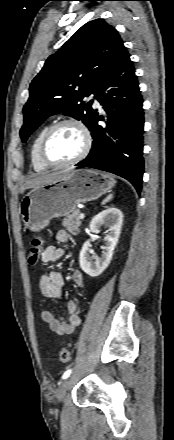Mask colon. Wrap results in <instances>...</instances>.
<instances>
[{
	"instance_id": "1",
	"label": "colon",
	"mask_w": 174,
	"mask_h": 440,
	"mask_svg": "<svg viewBox=\"0 0 174 440\" xmlns=\"http://www.w3.org/2000/svg\"><path fill=\"white\" fill-rule=\"evenodd\" d=\"M44 241L42 237L36 235L32 238L28 261L31 265L36 264L41 257L43 251ZM70 359V349L68 347H64L59 352V360L63 363L68 362Z\"/></svg>"
}]
</instances>
